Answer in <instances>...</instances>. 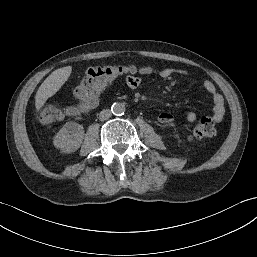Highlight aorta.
<instances>
[{"mask_svg":"<svg viewBox=\"0 0 257 257\" xmlns=\"http://www.w3.org/2000/svg\"><path fill=\"white\" fill-rule=\"evenodd\" d=\"M111 111L114 115H123L125 112V105L123 103L115 102L111 106Z\"/></svg>","mask_w":257,"mask_h":257,"instance_id":"1","label":"aorta"}]
</instances>
